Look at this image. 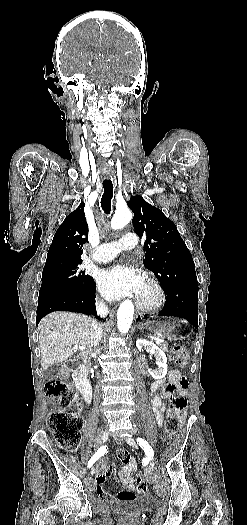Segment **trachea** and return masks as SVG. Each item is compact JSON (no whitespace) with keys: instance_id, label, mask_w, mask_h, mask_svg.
<instances>
[{"instance_id":"obj_1","label":"trachea","mask_w":247,"mask_h":525,"mask_svg":"<svg viewBox=\"0 0 247 525\" xmlns=\"http://www.w3.org/2000/svg\"><path fill=\"white\" fill-rule=\"evenodd\" d=\"M104 193L101 198V207L102 210L109 214L111 211V201L113 198V184L110 181L103 182Z\"/></svg>"}]
</instances>
